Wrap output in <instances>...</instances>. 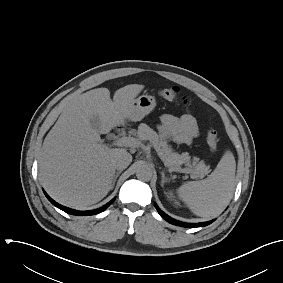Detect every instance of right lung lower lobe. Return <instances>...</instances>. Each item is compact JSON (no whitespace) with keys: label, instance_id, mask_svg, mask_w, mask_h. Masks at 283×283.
Here are the masks:
<instances>
[{"label":"right lung lower lobe","instance_id":"1","mask_svg":"<svg viewBox=\"0 0 283 283\" xmlns=\"http://www.w3.org/2000/svg\"><path fill=\"white\" fill-rule=\"evenodd\" d=\"M45 193V192H44ZM46 197L48 198V200L53 204L55 205L56 207H58L59 209L65 211L66 213L68 214H72V215H80V216H88V215H94V214H97V213H100L102 211H104L109 205H111L113 203V201L115 200L112 199L110 202H108L106 205H104L103 207L101 208H98V209H95V210H91V211H77V210H73V209H70V208H67V207H64L60 204H58L57 202H55L53 199H51L46 193H45Z\"/></svg>","mask_w":283,"mask_h":283}]
</instances>
